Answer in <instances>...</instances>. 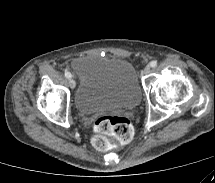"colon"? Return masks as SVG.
<instances>
[{
	"mask_svg": "<svg viewBox=\"0 0 215 183\" xmlns=\"http://www.w3.org/2000/svg\"><path fill=\"white\" fill-rule=\"evenodd\" d=\"M94 130L96 135L92 139V144L99 151L111 148L108 136L117 138L121 144H127L133 138L132 125L128 119L122 116H100L94 122Z\"/></svg>",
	"mask_w": 215,
	"mask_h": 183,
	"instance_id": "obj_1",
	"label": "colon"
}]
</instances>
